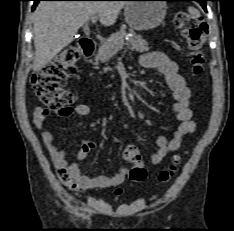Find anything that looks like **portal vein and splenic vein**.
<instances>
[{
	"label": "portal vein and splenic vein",
	"mask_w": 234,
	"mask_h": 231,
	"mask_svg": "<svg viewBox=\"0 0 234 231\" xmlns=\"http://www.w3.org/2000/svg\"><path fill=\"white\" fill-rule=\"evenodd\" d=\"M91 22L93 24H95L97 22V16L96 15L91 17Z\"/></svg>",
	"instance_id": "18ae733b"
}]
</instances>
